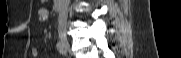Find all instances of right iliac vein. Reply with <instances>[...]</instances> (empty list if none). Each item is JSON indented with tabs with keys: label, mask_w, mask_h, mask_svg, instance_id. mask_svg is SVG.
<instances>
[{
	"label": "right iliac vein",
	"mask_w": 181,
	"mask_h": 58,
	"mask_svg": "<svg viewBox=\"0 0 181 58\" xmlns=\"http://www.w3.org/2000/svg\"><path fill=\"white\" fill-rule=\"evenodd\" d=\"M61 43L63 44V46L65 47L66 50H69L70 45L65 36H61Z\"/></svg>",
	"instance_id": "obj_1"
}]
</instances>
